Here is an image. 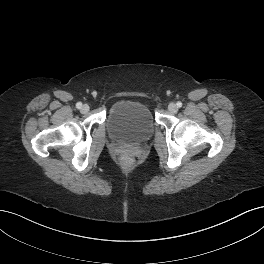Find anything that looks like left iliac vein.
I'll return each instance as SVG.
<instances>
[{
	"instance_id": "left-iliac-vein-1",
	"label": "left iliac vein",
	"mask_w": 264,
	"mask_h": 264,
	"mask_svg": "<svg viewBox=\"0 0 264 264\" xmlns=\"http://www.w3.org/2000/svg\"><path fill=\"white\" fill-rule=\"evenodd\" d=\"M168 110L171 112V113H176L178 111V107L176 106L175 103H170L168 105Z\"/></svg>"
}]
</instances>
